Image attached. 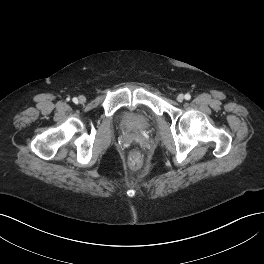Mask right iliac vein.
<instances>
[{
  "label": "right iliac vein",
  "mask_w": 264,
  "mask_h": 264,
  "mask_svg": "<svg viewBox=\"0 0 264 264\" xmlns=\"http://www.w3.org/2000/svg\"><path fill=\"white\" fill-rule=\"evenodd\" d=\"M78 102L81 103V104L85 103L86 102V97L83 96V95L79 96Z\"/></svg>",
  "instance_id": "right-iliac-vein-1"
}]
</instances>
